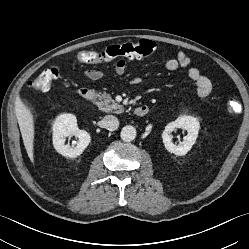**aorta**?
<instances>
[{
  "mask_svg": "<svg viewBox=\"0 0 249 249\" xmlns=\"http://www.w3.org/2000/svg\"><path fill=\"white\" fill-rule=\"evenodd\" d=\"M120 136L124 142H131L136 137V129L131 125L124 126L121 130Z\"/></svg>",
  "mask_w": 249,
  "mask_h": 249,
  "instance_id": "obj_1",
  "label": "aorta"
}]
</instances>
